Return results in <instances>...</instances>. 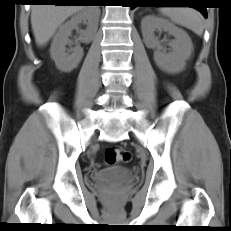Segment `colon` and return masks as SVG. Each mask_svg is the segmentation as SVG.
Masks as SVG:
<instances>
[{"instance_id":"obj_1","label":"colon","mask_w":231,"mask_h":231,"mask_svg":"<svg viewBox=\"0 0 231 231\" xmlns=\"http://www.w3.org/2000/svg\"><path fill=\"white\" fill-rule=\"evenodd\" d=\"M131 159L130 153L117 146L109 147L105 151V163L115 165L120 162H128Z\"/></svg>"}]
</instances>
